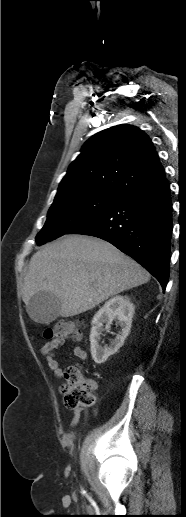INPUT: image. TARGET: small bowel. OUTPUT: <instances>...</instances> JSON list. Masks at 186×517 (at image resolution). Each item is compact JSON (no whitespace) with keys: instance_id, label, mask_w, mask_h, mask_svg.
I'll return each mask as SVG.
<instances>
[{"instance_id":"c3829d8e","label":"small bowel","mask_w":186,"mask_h":517,"mask_svg":"<svg viewBox=\"0 0 186 517\" xmlns=\"http://www.w3.org/2000/svg\"><path fill=\"white\" fill-rule=\"evenodd\" d=\"M64 343V339L56 338L45 343L41 348V354L45 357L49 368L57 377L62 376L63 369L60 362L55 357V351L58 350ZM73 354L81 361H85L87 359L86 352L80 346H75L73 348ZM82 413L88 417V412L86 410L79 408L74 411L70 422L71 428H74L78 425Z\"/></svg>"}]
</instances>
